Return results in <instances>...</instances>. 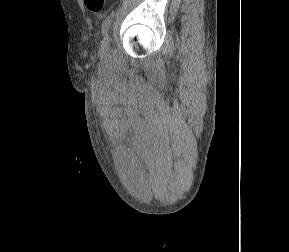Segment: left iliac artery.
I'll use <instances>...</instances> for the list:
<instances>
[{
  "label": "left iliac artery",
  "instance_id": "1",
  "mask_svg": "<svg viewBox=\"0 0 289 252\" xmlns=\"http://www.w3.org/2000/svg\"><path fill=\"white\" fill-rule=\"evenodd\" d=\"M114 16V13H111L110 15H108L103 23H102V33L105 34L107 33V31L109 30L110 26H111V22H112V18Z\"/></svg>",
  "mask_w": 289,
  "mask_h": 252
}]
</instances>
